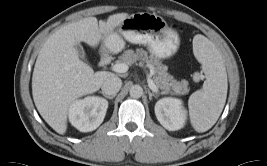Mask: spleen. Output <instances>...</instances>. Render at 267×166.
<instances>
[{
	"instance_id": "spleen-1",
	"label": "spleen",
	"mask_w": 267,
	"mask_h": 166,
	"mask_svg": "<svg viewBox=\"0 0 267 166\" xmlns=\"http://www.w3.org/2000/svg\"><path fill=\"white\" fill-rule=\"evenodd\" d=\"M193 51L202 64L206 80L203 88L190 96L188 107L193 128L202 133L218 120L226 102L228 83L223 59L209 39L196 35Z\"/></svg>"
}]
</instances>
